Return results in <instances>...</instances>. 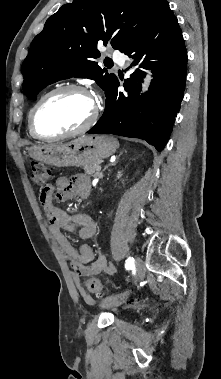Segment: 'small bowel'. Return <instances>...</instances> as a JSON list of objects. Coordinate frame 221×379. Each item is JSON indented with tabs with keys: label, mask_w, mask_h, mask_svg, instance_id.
I'll use <instances>...</instances> for the list:
<instances>
[{
	"label": "small bowel",
	"mask_w": 221,
	"mask_h": 379,
	"mask_svg": "<svg viewBox=\"0 0 221 379\" xmlns=\"http://www.w3.org/2000/svg\"><path fill=\"white\" fill-rule=\"evenodd\" d=\"M56 187V197L59 201H67L74 197L85 198L90 192V184L83 177L72 180L60 177L56 181ZM40 202L48 217L50 232L71 264L72 278L79 293L87 302H92V298L81 286L80 278L102 273L115 275L117 269L108 262L103 253L96 256L89 245L83 244L75 248L67 237V233L77 231L81 239L87 240L96 234V224L87 214L69 215L55 207L52 202V188L45 197H40Z\"/></svg>",
	"instance_id": "1"
}]
</instances>
